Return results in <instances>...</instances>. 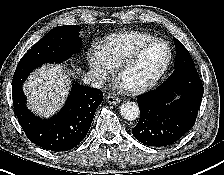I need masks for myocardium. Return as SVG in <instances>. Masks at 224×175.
<instances>
[{
  "mask_svg": "<svg viewBox=\"0 0 224 175\" xmlns=\"http://www.w3.org/2000/svg\"><path fill=\"white\" fill-rule=\"evenodd\" d=\"M164 44L167 48V57L163 63V65L161 66V68L157 71V73L151 77L149 80L141 83V84H137L134 86H129V87H125L127 92L131 93V94H137V93H142L145 92L149 89H151L153 86H155L157 84V82L163 77V75L165 74V72L167 71V69L170 66V63L172 61V49L169 45V43L164 40V39H160V38H154L144 44H142L141 46H139L130 56H128L125 60H123L119 66L117 67V79L121 82V78L122 75L125 73V71L127 69H129L132 65H134L137 60L140 58V56L151 46L155 45V44Z\"/></svg>",
  "mask_w": 224,
  "mask_h": 175,
  "instance_id": "f54148a6",
  "label": "myocardium"
}]
</instances>
